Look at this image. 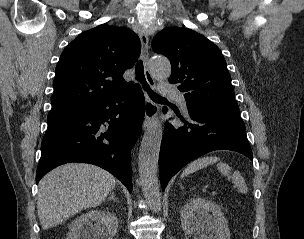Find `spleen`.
Here are the masks:
<instances>
[{
	"label": "spleen",
	"instance_id": "obj_1",
	"mask_svg": "<svg viewBox=\"0 0 304 239\" xmlns=\"http://www.w3.org/2000/svg\"><path fill=\"white\" fill-rule=\"evenodd\" d=\"M217 163V168L228 179H231L234 184L237 185L239 192L246 193L248 191L247 185L238 171L231 174V167L223 162H220L218 157H202L191 162L183 171L182 177L192 174L199 169L207 167L211 164Z\"/></svg>",
	"mask_w": 304,
	"mask_h": 239
}]
</instances>
